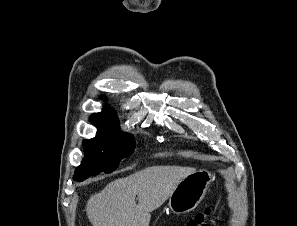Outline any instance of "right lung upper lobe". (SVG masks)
Wrapping results in <instances>:
<instances>
[{
  "label": "right lung upper lobe",
  "instance_id": "cb5924a9",
  "mask_svg": "<svg viewBox=\"0 0 297 226\" xmlns=\"http://www.w3.org/2000/svg\"><path fill=\"white\" fill-rule=\"evenodd\" d=\"M90 122L98 129H109L119 125L116 113L109 107L104 108L100 113L93 114Z\"/></svg>",
  "mask_w": 297,
  "mask_h": 226
}]
</instances>
